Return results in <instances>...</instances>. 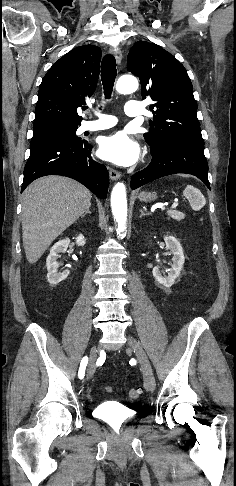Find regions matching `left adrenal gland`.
<instances>
[{
    "instance_id": "a2214340",
    "label": "left adrenal gland",
    "mask_w": 236,
    "mask_h": 486,
    "mask_svg": "<svg viewBox=\"0 0 236 486\" xmlns=\"http://www.w3.org/2000/svg\"><path fill=\"white\" fill-rule=\"evenodd\" d=\"M140 212H141L140 217L145 216V215H149V213H145L142 209H140Z\"/></svg>"
}]
</instances>
